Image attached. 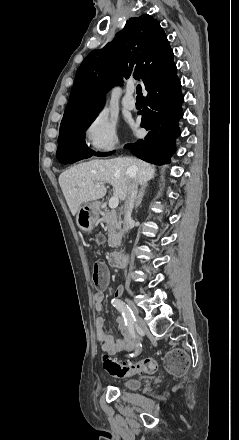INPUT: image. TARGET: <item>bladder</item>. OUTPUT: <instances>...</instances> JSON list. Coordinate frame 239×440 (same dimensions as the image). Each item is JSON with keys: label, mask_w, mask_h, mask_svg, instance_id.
<instances>
[{"label": "bladder", "mask_w": 239, "mask_h": 440, "mask_svg": "<svg viewBox=\"0 0 239 440\" xmlns=\"http://www.w3.org/2000/svg\"><path fill=\"white\" fill-rule=\"evenodd\" d=\"M120 387L127 390H137L141 387L142 382L138 379H126L118 383Z\"/></svg>", "instance_id": "bladder-1"}]
</instances>
